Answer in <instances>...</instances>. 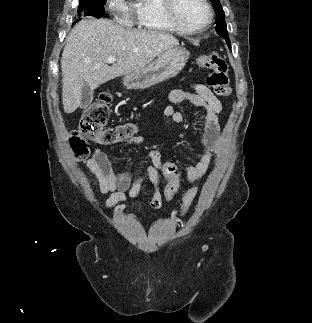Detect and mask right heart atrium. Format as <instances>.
I'll return each mask as SVG.
<instances>
[{"instance_id": "1", "label": "right heart atrium", "mask_w": 312, "mask_h": 323, "mask_svg": "<svg viewBox=\"0 0 312 323\" xmlns=\"http://www.w3.org/2000/svg\"><path fill=\"white\" fill-rule=\"evenodd\" d=\"M104 5H111L115 13H121L122 17H136V10H129L125 2H120V0H103Z\"/></svg>"}]
</instances>
